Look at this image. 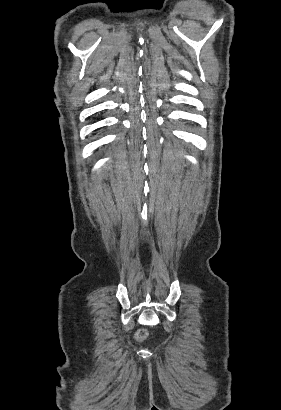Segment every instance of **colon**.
Segmentation results:
<instances>
[{
	"instance_id": "5ec220e1",
	"label": "colon",
	"mask_w": 281,
	"mask_h": 410,
	"mask_svg": "<svg viewBox=\"0 0 281 410\" xmlns=\"http://www.w3.org/2000/svg\"><path fill=\"white\" fill-rule=\"evenodd\" d=\"M148 336V332L146 329H141L137 332L136 338L138 340H143Z\"/></svg>"
}]
</instances>
